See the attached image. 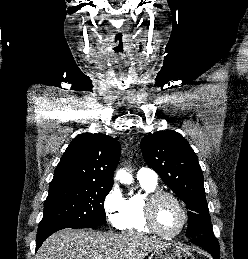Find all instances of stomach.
Segmentation results:
<instances>
[{
  "label": "stomach",
  "instance_id": "stomach-1",
  "mask_svg": "<svg viewBox=\"0 0 248 259\" xmlns=\"http://www.w3.org/2000/svg\"><path fill=\"white\" fill-rule=\"evenodd\" d=\"M148 259H195V257L185 248L174 244H166L153 250Z\"/></svg>",
  "mask_w": 248,
  "mask_h": 259
}]
</instances>
